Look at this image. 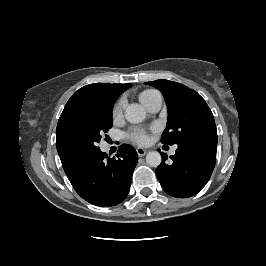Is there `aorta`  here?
<instances>
[{
  "mask_svg": "<svg viewBox=\"0 0 266 266\" xmlns=\"http://www.w3.org/2000/svg\"><path fill=\"white\" fill-rule=\"evenodd\" d=\"M146 117L145 109L139 104H130L125 110V118L130 123H140ZM161 155L157 151H151L146 155V163L149 166L157 167L161 163Z\"/></svg>",
  "mask_w": 266,
  "mask_h": 266,
  "instance_id": "aorta-1",
  "label": "aorta"
}]
</instances>
